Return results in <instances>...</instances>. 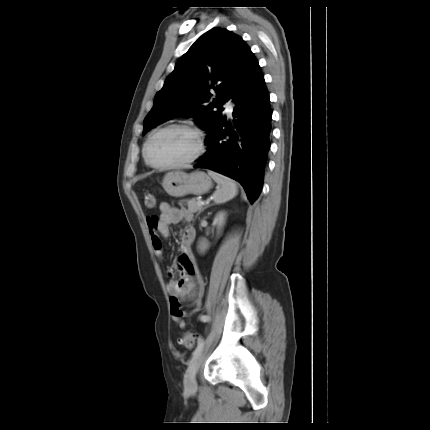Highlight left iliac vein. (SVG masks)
I'll return each mask as SVG.
<instances>
[{
    "label": "left iliac vein",
    "mask_w": 430,
    "mask_h": 430,
    "mask_svg": "<svg viewBox=\"0 0 430 430\" xmlns=\"http://www.w3.org/2000/svg\"><path fill=\"white\" fill-rule=\"evenodd\" d=\"M210 341H211L210 337H208L205 340V344L202 350L195 357H193V359L190 361L189 366L186 370V373L184 376V384H185V388L189 391L196 390L197 388L196 374L202 362L204 350L209 345Z\"/></svg>",
    "instance_id": "obj_1"
}]
</instances>
